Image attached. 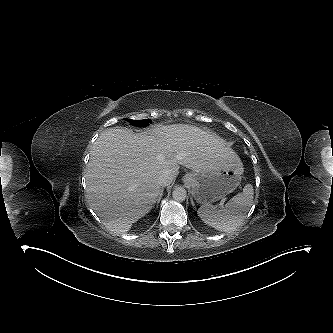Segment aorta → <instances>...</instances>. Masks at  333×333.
I'll return each mask as SVG.
<instances>
[{"instance_id": "aorta-1", "label": "aorta", "mask_w": 333, "mask_h": 333, "mask_svg": "<svg viewBox=\"0 0 333 333\" xmlns=\"http://www.w3.org/2000/svg\"><path fill=\"white\" fill-rule=\"evenodd\" d=\"M187 192L183 187H176L172 192V197L175 201L182 202L186 199Z\"/></svg>"}]
</instances>
